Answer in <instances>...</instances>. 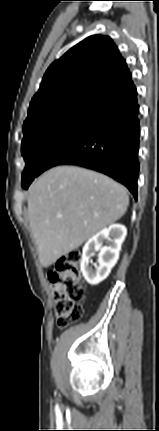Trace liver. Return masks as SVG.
Wrapping results in <instances>:
<instances>
[{
  "mask_svg": "<svg viewBox=\"0 0 159 431\" xmlns=\"http://www.w3.org/2000/svg\"><path fill=\"white\" fill-rule=\"evenodd\" d=\"M28 219L43 267L79 248L126 212L127 190L95 171L59 166L28 191Z\"/></svg>",
  "mask_w": 159,
  "mask_h": 431,
  "instance_id": "liver-1",
  "label": "liver"
}]
</instances>
